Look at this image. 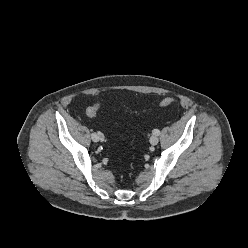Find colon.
<instances>
[{"label": "colon", "instance_id": "colon-1", "mask_svg": "<svg viewBox=\"0 0 248 248\" xmlns=\"http://www.w3.org/2000/svg\"><path fill=\"white\" fill-rule=\"evenodd\" d=\"M175 103V99L173 97H165L160 101L161 107H167ZM100 104L95 103L88 107L87 109V115L91 118H94L96 116L97 110L99 109Z\"/></svg>", "mask_w": 248, "mask_h": 248}]
</instances>
